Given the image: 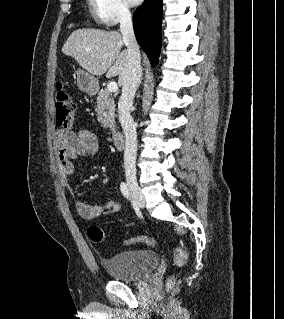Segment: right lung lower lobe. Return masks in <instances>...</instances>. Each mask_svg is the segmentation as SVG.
<instances>
[{
    "label": "right lung lower lobe",
    "instance_id": "right-lung-lower-lobe-1",
    "mask_svg": "<svg viewBox=\"0 0 284 319\" xmlns=\"http://www.w3.org/2000/svg\"><path fill=\"white\" fill-rule=\"evenodd\" d=\"M162 0H145L134 12V31L136 39L156 66L161 48Z\"/></svg>",
    "mask_w": 284,
    "mask_h": 319
}]
</instances>
